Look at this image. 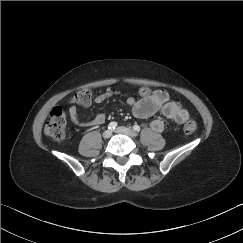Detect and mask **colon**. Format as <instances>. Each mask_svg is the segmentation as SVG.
<instances>
[{"instance_id": "obj_1", "label": "colon", "mask_w": 243, "mask_h": 243, "mask_svg": "<svg viewBox=\"0 0 243 243\" xmlns=\"http://www.w3.org/2000/svg\"><path fill=\"white\" fill-rule=\"evenodd\" d=\"M91 101V92L87 88L77 91L71 98L70 102L78 105H88ZM66 116L60 107H55L50 112L49 120L44 126V132L50 138L60 141L66 136ZM184 132L192 134L197 130V124L193 120H188L184 124Z\"/></svg>"}]
</instances>
